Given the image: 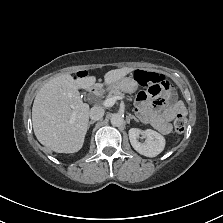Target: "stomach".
Masks as SVG:
<instances>
[{
    "instance_id": "stomach-1",
    "label": "stomach",
    "mask_w": 223,
    "mask_h": 223,
    "mask_svg": "<svg viewBox=\"0 0 223 223\" xmlns=\"http://www.w3.org/2000/svg\"><path fill=\"white\" fill-rule=\"evenodd\" d=\"M137 81H138L137 79H135L130 75V77L121 78L115 82H111L107 86L109 87L108 90L111 89V87L113 89L114 87L116 88L118 86L122 90H126L128 93H131L137 87L138 85Z\"/></svg>"
}]
</instances>
